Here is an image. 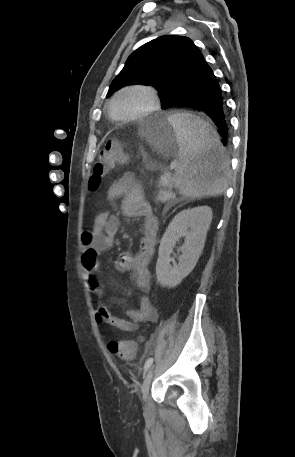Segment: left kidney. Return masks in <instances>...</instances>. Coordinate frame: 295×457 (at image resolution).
I'll list each match as a JSON object with an SVG mask.
<instances>
[{
	"instance_id": "1",
	"label": "left kidney",
	"mask_w": 295,
	"mask_h": 457,
	"mask_svg": "<svg viewBox=\"0 0 295 457\" xmlns=\"http://www.w3.org/2000/svg\"><path fill=\"white\" fill-rule=\"evenodd\" d=\"M212 221V209L201 206L179 212L170 222L160 242L156 263L157 281L161 286L174 288L189 275L203 251L206 234ZM181 237L185 244L178 264H170L173 247Z\"/></svg>"
}]
</instances>
